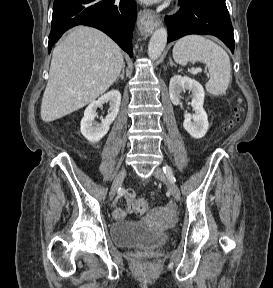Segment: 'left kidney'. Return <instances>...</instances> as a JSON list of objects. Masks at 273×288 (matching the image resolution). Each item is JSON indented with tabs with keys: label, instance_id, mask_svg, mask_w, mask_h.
Segmentation results:
<instances>
[{
	"label": "left kidney",
	"instance_id": "left-kidney-1",
	"mask_svg": "<svg viewBox=\"0 0 273 288\" xmlns=\"http://www.w3.org/2000/svg\"><path fill=\"white\" fill-rule=\"evenodd\" d=\"M190 90L193 94L191 106L195 113L184 114V129L195 139L202 138L209 128L208 116L203 108L205 92L202 85L187 76L174 75L170 79L169 94L174 105L181 104L182 91Z\"/></svg>",
	"mask_w": 273,
	"mask_h": 288
}]
</instances>
